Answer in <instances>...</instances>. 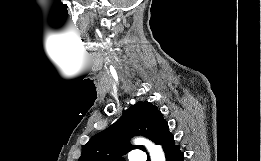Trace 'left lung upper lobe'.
Returning <instances> with one entry per match:
<instances>
[{
    "instance_id": "left-lung-upper-lobe-1",
    "label": "left lung upper lobe",
    "mask_w": 261,
    "mask_h": 161,
    "mask_svg": "<svg viewBox=\"0 0 261 161\" xmlns=\"http://www.w3.org/2000/svg\"><path fill=\"white\" fill-rule=\"evenodd\" d=\"M169 127L155 105L148 101L137 102L110 127L93 136L82 146L78 161H125L121 155L143 146L131 145L133 135H142L160 144L168 135Z\"/></svg>"
}]
</instances>
